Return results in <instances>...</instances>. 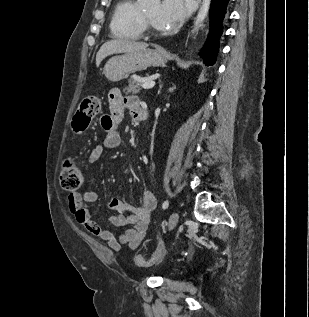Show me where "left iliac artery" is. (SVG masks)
<instances>
[{
	"mask_svg": "<svg viewBox=\"0 0 309 317\" xmlns=\"http://www.w3.org/2000/svg\"><path fill=\"white\" fill-rule=\"evenodd\" d=\"M168 206H169V201L168 200L164 201L162 204V208L166 209V208H168Z\"/></svg>",
	"mask_w": 309,
	"mask_h": 317,
	"instance_id": "obj_1",
	"label": "left iliac artery"
}]
</instances>
